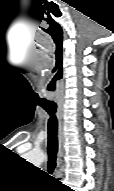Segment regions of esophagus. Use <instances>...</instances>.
Returning <instances> with one entry per match:
<instances>
[{
    "label": "esophagus",
    "mask_w": 114,
    "mask_h": 191,
    "mask_svg": "<svg viewBox=\"0 0 114 191\" xmlns=\"http://www.w3.org/2000/svg\"><path fill=\"white\" fill-rule=\"evenodd\" d=\"M58 120H59L58 137H59L60 154H61V151H62V143H63V138H64L63 118H62V112H61V111L58 113ZM59 161H60V159H59Z\"/></svg>",
    "instance_id": "34e87169"
}]
</instances>
